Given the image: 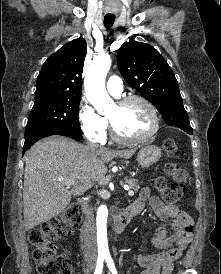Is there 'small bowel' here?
<instances>
[{"label":"small bowel","mask_w":221,"mask_h":274,"mask_svg":"<svg viewBox=\"0 0 221 274\" xmlns=\"http://www.w3.org/2000/svg\"><path fill=\"white\" fill-rule=\"evenodd\" d=\"M146 202H149L157 216L166 222L157 228L155 235L148 241L149 245L160 252H140L137 255V262L143 268L141 274H171L174 262L192 239L193 222L179 207L165 204L159 197L154 196L149 188H144L132 205L139 213ZM170 230L174 231L173 236H169Z\"/></svg>","instance_id":"c3829d8e"}]
</instances>
